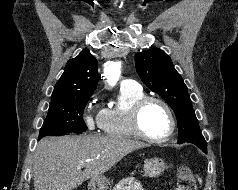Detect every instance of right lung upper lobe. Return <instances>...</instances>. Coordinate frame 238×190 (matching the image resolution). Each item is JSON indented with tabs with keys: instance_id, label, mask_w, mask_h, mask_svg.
I'll return each instance as SVG.
<instances>
[{
	"instance_id": "cb5924a9",
	"label": "right lung upper lobe",
	"mask_w": 238,
	"mask_h": 190,
	"mask_svg": "<svg viewBox=\"0 0 238 190\" xmlns=\"http://www.w3.org/2000/svg\"><path fill=\"white\" fill-rule=\"evenodd\" d=\"M97 69V60L88 49H84L76 58L67 62L64 73L54 87L51 100L92 95L99 79Z\"/></svg>"
}]
</instances>
